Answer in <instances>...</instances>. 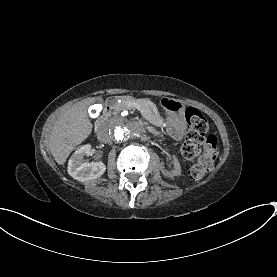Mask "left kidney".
I'll return each instance as SVG.
<instances>
[{
    "instance_id": "5707ae66",
    "label": "left kidney",
    "mask_w": 277,
    "mask_h": 277,
    "mask_svg": "<svg viewBox=\"0 0 277 277\" xmlns=\"http://www.w3.org/2000/svg\"><path fill=\"white\" fill-rule=\"evenodd\" d=\"M174 169L171 171H167L164 168H161V172L163 173L164 176L168 178H172L174 176H179L181 174V166L178 161V159L174 156Z\"/></svg>"
}]
</instances>
